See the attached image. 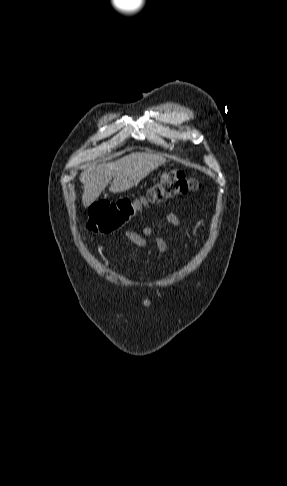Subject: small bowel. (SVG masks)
Returning <instances> with one entry per match:
<instances>
[{"instance_id":"obj_1","label":"small bowel","mask_w":287,"mask_h":486,"mask_svg":"<svg viewBox=\"0 0 287 486\" xmlns=\"http://www.w3.org/2000/svg\"><path fill=\"white\" fill-rule=\"evenodd\" d=\"M164 220L172 226H181V222L178 216L174 213H167L164 217ZM123 236L132 244L140 248H146L148 246L147 238L151 237L154 245L161 254L168 255L169 253V248L166 241L163 238L154 234V226L152 225H147L143 227L140 233L131 230H125L123 232Z\"/></svg>"}]
</instances>
